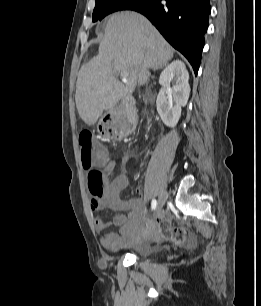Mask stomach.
I'll list each match as a JSON object with an SVG mask.
<instances>
[{
  "instance_id": "obj_1",
  "label": "stomach",
  "mask_w": 261,
  "mask_h": 306,
  "mask_svg": "<svg viewBox=\"0 0 261 306\" xmlns=\"http://www.w3.org/2000/svg\"><path fill=\"white\" fill-rule=\"evenodd\" d=\"M120 127L116 130V135L124 137L131 134L136 126L135 118L127 115L126 113H120Z\"/></svg>"
}]
</instances>
